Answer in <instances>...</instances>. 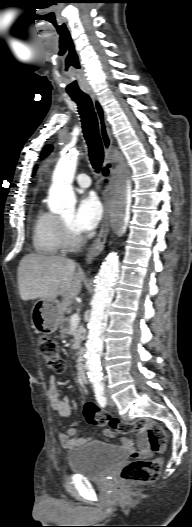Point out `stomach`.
Returning <instances> with one entry per match:
<instances>
[{
	"label": "stomach",
	"instance_id": "1",
	"mask_svg": "<svg viewBox=\"0 0 192 527\" xmlns=\"http://www.w3.org/2000/svg\"><path fill=\"white\" fill-rule=\"evenodd\" d=\"M64 308L56 299H39L32 309L35 330L43 334L54 333L61 324Z\"/></svg>",
	"mask_w": 192,
	"mask_h": 527
}]
</instances>
